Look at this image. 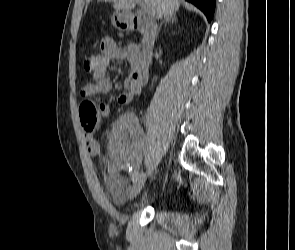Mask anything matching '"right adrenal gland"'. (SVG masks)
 <instances>
[{
    "label": "right adrenal gland",
    "instance_id": "obj_1",
    "mask_svg": "<svg viewBox=\"0 0 295 250\" xmlns=\"http://www.w3.org/2000/svg\"><path fill=\"white\" fill-rule=\"evenodd\" d=\"M165 23H177V17L175 15H168L165 17V20L164 22H162L158 28V31H160L161 27H162V24Z\"/></svg>",
    "mask_w": 295,
    "mask_h": 250
}]
</instances>
